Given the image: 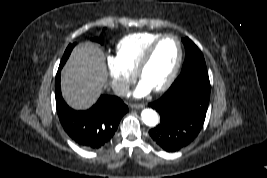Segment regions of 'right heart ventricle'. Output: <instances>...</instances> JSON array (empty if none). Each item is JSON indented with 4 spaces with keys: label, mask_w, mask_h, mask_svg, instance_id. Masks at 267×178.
<instances>
[{
    "label": "right heart ventricle",
    "mask_w": 267,
    "mask_h": 178,
    "mask_svg": "<svg viewBox=\"0 0 267 178\" xmlns=\"http://www.w3.org/2000/svg\"><path fill=\"white\" fill-rule=\"evenodd\" d=\"M161 35L159 32H139L123 37L117 43L116 58L126 69L135 73L147 47Z\"/></svg>",
    "instance_id": "1"
}]
</instances>
